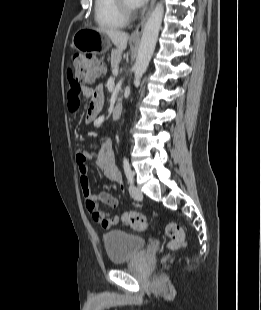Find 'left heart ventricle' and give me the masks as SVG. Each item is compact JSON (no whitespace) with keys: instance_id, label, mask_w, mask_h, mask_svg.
I'll use <instances>...</instances> for the list:
<instances>
[{"instance_id":"1","label":"left heart ventricle","mask_w":261,"mask_h":310,"mask_svg":"<svg viewBox=\"0 0 261 310\" xmlns=\"http://www.w3.org/2000/svg\"><path fill=\"white\" fill-rule=\"evenodd\" d=\"M124 1L129 7H131L129 0H124Z\"/></svg>"}]
</instances>
